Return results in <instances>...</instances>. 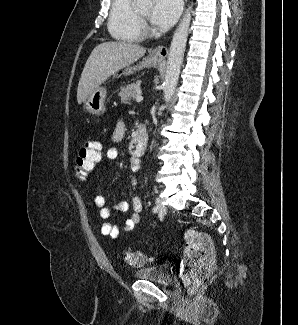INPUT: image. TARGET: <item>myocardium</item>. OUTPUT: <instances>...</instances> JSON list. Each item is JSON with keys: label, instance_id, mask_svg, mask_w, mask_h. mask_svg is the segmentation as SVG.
Here are the masks:
<instances>
[{"label": "myocardium", "instance_id": "f54148a6", "mask_svg": "<svg viewBox=\"0 0 298 325\" xmlns=\"http://www.w3.org/2000/svg\"><path fill=\"white\" fill-rule=\"evenodd\" d=\"M141 0L132 3V26L140 38H151L158 34V30L153 28L140 10Z\"/></svg>", "mask_w": 298, "mask_h": 325}]
</instances>
